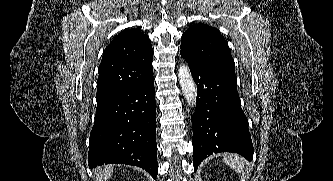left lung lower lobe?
<instances>
[{"label":"left lung lower lobe","instance_id":"1","mask_svg":"<svg viewBox=\"0 0 333 181\" xmlns=\"http://www.w3.org/2000/svg\"><path fill=\"white\" fill-rule=\"evenodd\" d=\"M181 56L197 85L196 110L192 115L194 169L209 155L220 152L238 153L251 161L253 144L237 92V79Z\"/></svg>","mask_w":333,"mask_h":181}]
</instances>
